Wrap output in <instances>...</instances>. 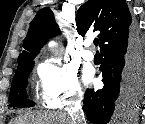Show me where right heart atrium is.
Instances as JSON below:
<instances>
[{
  "mask_svg": "<svg viewBox=\"0 0 145 124\" xmlns=\"http://www.w3.org/2000/svg\"><path fill=\"white\" fill-rule=\"evenodd\" d=\"M41 98L45 105L61 108L74 104L82 96V88L74 69L49 59L38 67Z\"/></svg>",
  "mask_w": 145,
  "mask_h": 124,
  "instance_id": "obj_1",
  "label": "right heart atrium"
}]
</instances>
